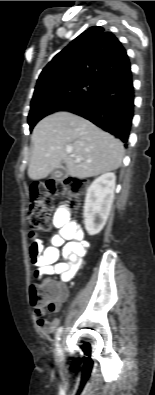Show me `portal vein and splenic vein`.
I'll return each mask as SVG.
<instances>
[{
  "label": "portal vein and splenic vein",
  "mask_w": 155,
  "mask_h": 395,
  "mask_svg": "<svg viewBox=\"0 0 155 395\" xmlns=\"http://www.w3.org/2000/svg\"><path fill=\"white\" fill-rule=\"evenodd\" d=\"M68 153H70L71 152V150H68L67 151ZM82 161V159L81 158H79V157H76V162H81Z\"/></svg>",
  "instance_id": "1"
}]
</instances>
